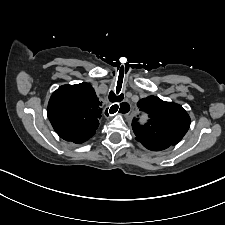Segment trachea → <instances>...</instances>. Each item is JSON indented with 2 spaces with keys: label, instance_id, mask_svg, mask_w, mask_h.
Listing matches in <instances>:
<instances>
[{
  "label": "trachea",
  "instance_id": "1",
  "mask_svg": "<svg viewBox=\"0 0 225 225\" xmlns=\"http://www.w3.org/2000/svg\"><path fill=\"white\" fill-rule=\"evenodd\" d=\"M120 90H117L116 93H114L113 91H111L109 93V100L110 102L114 103V102H121L124 98V95L123 94H119ZM127 103L123 102L120 104V110H123L124 107L126 106ZM128 105V104H127ZM114 109L113 111H110V113H115L117 110H118V105H114L113 106ZM130 108V107H129Z\"/></svg>",
  "mask_w": 225,
  "mask_h": 225
}]
</instances>
